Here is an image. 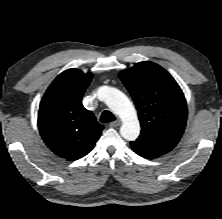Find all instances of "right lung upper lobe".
Here are the masks:
<instances>
[{
    "label": "right lung upper lobe",
    "mask_w": 222,
    "mask_h": 219,
    "mask_svg": "<svg viewBox=\"0 0 222 219\" xmlns=\"http://www.w3.org/2000/svg\"><path fill=\"white\" fill-rule=\"evenodd\" d=\"M91 80L92 73L68 69L52 82L40 103V134L56 155L67 160L87 155L104 128L81 102Z\"/></svg>",
    "instance_id": "cb5924a9"
}]
</instances>
